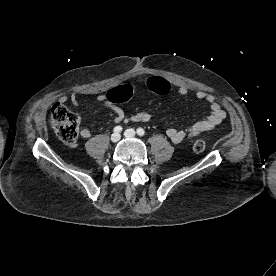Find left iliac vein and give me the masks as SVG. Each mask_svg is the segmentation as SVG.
I'll return each mask as SVG.
<instances>
[{
	"label": "left iliac vein",
	"instance_id": "left-iliac-vein-1",
	"mask_svg": "<svg viewBox=\"0 0 276 276\" xmlns=\"http://www.w3.org/2000/svg\"><path fill=\"white\" fill-rule=\"evenodd\" d=\"M124 135L128 138H134L135 135H136V132L134 129H127L125 132H124Z\"/></svg>",
	"mask_w": 276,
	"mask_h": 276
}]
</instances>
